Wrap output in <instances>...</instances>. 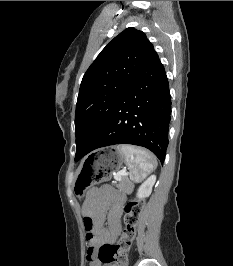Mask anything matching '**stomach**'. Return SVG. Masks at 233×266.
<instances>
[{"instance_id":"0dacf381","label":"stomach","mask_w":233,"mask_h":266,"mask_svg":"<svg viewBox=\"0 0 233 266\" xmlns=\"http://www.w3.org/2000/svg\"><path fill=\"white\" fill-rule=\"evenodd\" d=\"M124 160L120 147H95V152H88L87 161H82V167H77L75 194L82 196L91 185H101V180H112Z\"/></svg>"}]
</instances>
